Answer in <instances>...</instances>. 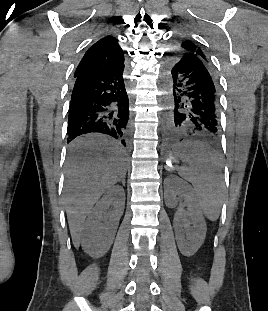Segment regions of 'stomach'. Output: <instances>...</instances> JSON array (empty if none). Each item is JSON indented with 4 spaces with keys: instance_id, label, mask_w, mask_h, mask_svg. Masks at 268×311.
<instances>
[{
    "instance_id": "stomach-1",
    "label": "stomach",
    "mask_w": 268,
    "mask_h": 311,
    "mask_svg": "<svg viewBox=\"0 0 268 311\" xmlns=\"http://www.w3.org/2000/svg\"><path fill=\"white\" fill-rule=\"evenodd\" d=\"M188 146L189 145H185V146H182V147H179V148L175 149L173 154H172L173 156L170 157V160L173 161V162H176V159H178V158L183 160L181 158V155L182 154H187L189 152Z\"/></svg>"
}]
</instances>
